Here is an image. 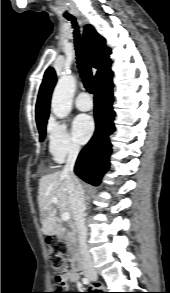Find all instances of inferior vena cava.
<instances>
[{
	"mask_svg": "<svg viewBox=\"0 0 170 293\" xmlns=\"http://www.w3.org/2000/svg\"><path fill=\"white\" fill-rule=\"evenodd\" d=\"M79 150V146L77 145H72L70 147L68 158L62 173L65 177L67 189L71 198L72 212L78 235L79 250L82 257L83 269L88 271L94 269V264L86 243L87 228L85 225L86 204L84 190L74 174V165L79 154Z\"/></svg>",
	"mask_w": 170,
	"mask_h": 293,
	"instance_id": "602c4592",
	"label": "inferior vena cava"
}]
</instances>
